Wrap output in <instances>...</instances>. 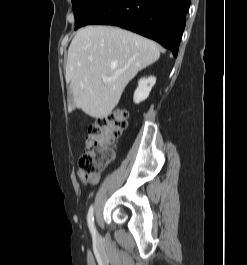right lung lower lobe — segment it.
Listing matches in <instances>:
<instances>
[{
    "label": "right lung lower lobe",
    "mask_w": 247,
    "mask_h": 265,
    "mask_svg": "<svg viewBox=\"0 0 247 265\" xmlns=\"http://www.w3.org/2000/svg\"><path fill=\"white\" fill-rule=\"evenodd\" d=\"M190 0H98L76 24L119 26L151 38L178 54Z\"/></svg>",
    "instance_id": "98d812e1"
}]
</instances>
